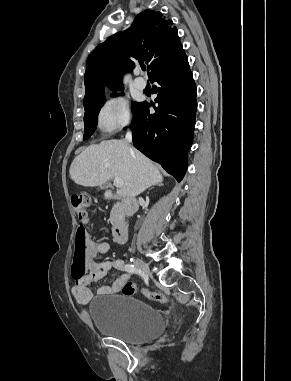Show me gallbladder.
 <instances>
[{"label": "gallbladder", "mask_w": 291, "mask_h": 381, "mask_svg": "<svg viewBox=\"0 0 291 381\" xmlns=\"http://www.w3.org/2000/svg\"><path fill=\"white\" fill-rule=\"evenodd\" d=\"M108 187V183H105V184H103L101 187H100V189H105V188H107Z\"/></svg>", "instance_id": "gallbladder-1"}]
</instances>
